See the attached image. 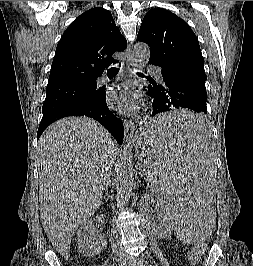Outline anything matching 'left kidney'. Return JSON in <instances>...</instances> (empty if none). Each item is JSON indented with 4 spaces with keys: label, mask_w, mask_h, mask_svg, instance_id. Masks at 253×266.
Returning a JSON list of instances; mask_svg holds the SVG:
<instances>
[{
    "label": "left kidney",
    "mask_w": 253,
    "mask_h": 266,
    "mask_svg": "<svg viewBox=\"0 0 253 266\" xmlns=\"http://www.w3.org/2000/svg\"><path fill=\"white\" fill-rule=\"evenodd\" d=\"M161 222L166 228H171V222L167 218H164Z\"/></svg>",
    "instance_id": "1"
}]
</instances>
